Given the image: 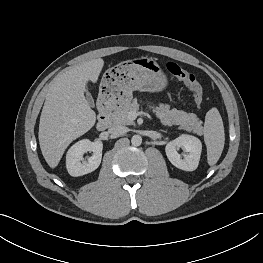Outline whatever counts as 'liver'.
Wrapping results in <instances>:
<instances>
[{
  "label": "liver",
  "instance_id": "1",
  "mask_svg": "<svg viewBox=\"0 0 263 263\" xmlns=\"http://www.w3.org/2000/svg\"><path fill=\"white\" fill-rule=\"evenodd\" d=\"M103 66V59H93L70 67L51 83L38 133L42 155L51 168L58 165L73 140L95 125L96 113L84 92L88 81L97 82Z\"/></svg>",
  "mask_w": 263,
  "mask_h": 263
}]
</instances>
